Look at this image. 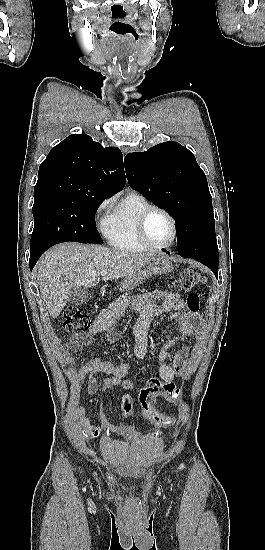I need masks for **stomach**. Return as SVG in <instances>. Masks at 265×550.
I'll return each instance as SVG.
<instances>
[{"instance_id":"stomach-1","label":"stomach","mask_w":265,"mask_h":550,"mask_svg":"<svg viewBox=\"0 0 265 550\" xmlns=\"http://www.w3.org/2000/svg\"><path fill=\"white\" fill-rule=\"evenodd\" d=\"M174 266L169 257L162 254H155L150 257L147 263L131 277V283L136 284L152 275L166 274L173 270Z\"/></svg>"}]
</instances>
